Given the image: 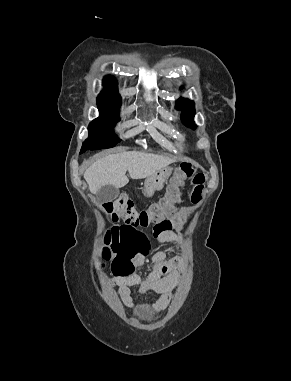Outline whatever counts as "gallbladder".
<instances>
[{
  "label": "gallbladder",
  "mask_w": 291,
  "mask_h": 381,
  "mask_svg": "<svg viewBox=\"0 0 291 381\" xmlns=\"http://www.w3.org/2000/svg\"><path fill=\"white\" fill-rule=\"evenodd\" d=\"M119 195V189L112 185L103 186L97 193V200L100 204H105L115 200Z\"/></svg>",
  "instance_id": "bac80fb5"
}]
</instances>
